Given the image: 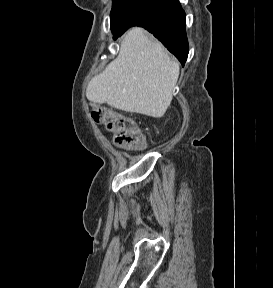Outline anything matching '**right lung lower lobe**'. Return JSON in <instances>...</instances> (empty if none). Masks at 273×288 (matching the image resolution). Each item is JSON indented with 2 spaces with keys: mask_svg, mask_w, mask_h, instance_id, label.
Returning a JSON list of instances; mask_svg holds the SVG:
<instances>
[{
  "mask_svg": "<svg viewBox=\"0 0 273 288\" xmlns=\"http://www.w3.org/2000/svg\"><path fill=\"white\" fill-rule=\"evenodd\" d=\"M185 21L179 0H138L111 30L116 39L132 26L143 27L184 66L189 50Z\"/></svg>",
  "mask_w": 273,
  "mask_h": 288,
  "instance_id": "right-lung-lower-lobe-1",
  "label": "right lung lower lobe"
}]
</instances>
